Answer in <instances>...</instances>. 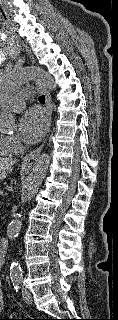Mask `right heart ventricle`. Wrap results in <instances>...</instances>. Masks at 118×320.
I'll use <instances>...</instances> for the list:
<instances>
[{
	"instance_id": "right-heart-ventricle-1",
	"label": "right heart ventricle",
	"mask_w": 118,
	"mask_h": 320,
	"mask_svg": "<svg viewBox=\"0 0 118 320\" xmlns=\"http://www.w3.org/2000/svg\"><path fill=\"white\" fill-rule=\"evenodd\" d=\"M12 152L8 142L7 137L0 134V156L8 155Z\"/></svg>"
}]
</instances>
